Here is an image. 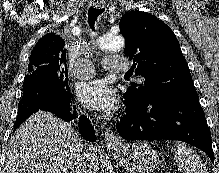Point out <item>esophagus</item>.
Segmentation results:
<instances>
[{
    "mask_svg": "<svg viewBox=\"0 0 219 173\" xmlns=\"http://www.w3.org/2000/svg\"><path fill=\"white\" fill-rule=\"evenodd\" d=\"M94 6L96 8L102 9L105 5L102 3H95ZM102 135L105 144L109 147L118 145L121 142V140L115 135L110 127H104L102 130Z\"/></svg>",
    "mask_w": 219,
    "mask_h": 173,
    "instance_id": "34e87169",
    "label": "esophagus"
}]
</instances>
